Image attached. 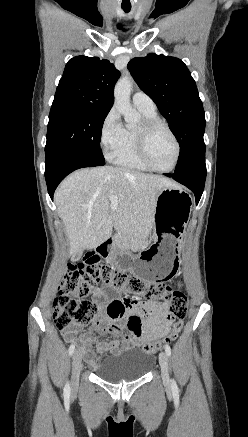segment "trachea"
<instances>
[{
    "mask_svg": "<svg viewBox=\"0 0 248 437\" xmlns=\"http://www.w3.org/2000/svg\"><path fill=\"white\" fill-rule=\"evenodd\" d=\"M123 10H124L125 13H128V12H130L131 7L130 8L123 7Z\"/></svg>",
    "mask_w": 248,
    "mask_h": 437,
    "instance_id": "obj_1",
    "label": "trachea"
}]
</instances>
